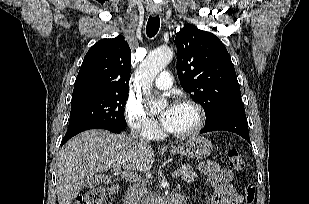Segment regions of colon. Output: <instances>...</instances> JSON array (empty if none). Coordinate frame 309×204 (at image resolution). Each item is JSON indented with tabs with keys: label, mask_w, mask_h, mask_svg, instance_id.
Returning <instances> with one entry per match:
<instances>
[{
	"label": "colon",
	"mask_w": 309,
	"mask_h": 204,
	"mask_svg": "<svg viewBox=\"0 0 309 204\" xmlns=\"http://www.w3.org/2000/svg\"><path fill=\"white\" fill-rule=\"evenodd\" d=\"M227 160L229 165L235 169L242 178L246 177L244 171V161L236 149H229L227 151ZM116 185H101L88 192L80 195L74 204H110L111 200L117 192ZM245 204H254L255 202V187L247 183L244 186Z\"/></svg>",
	"instance_id": "5ec220e1"
}]
</instances>
